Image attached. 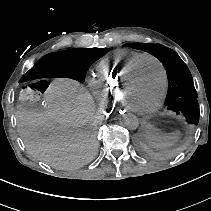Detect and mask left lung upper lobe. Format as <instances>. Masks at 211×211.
<instances>
[{
    "label": "left lung upper lobe",
    "instance_id": "obj_1",
    "mask_svg": "<svg viewBox=\"0 0 211 211\" xmlns=\"http://www.w3.org/2000/svg\"><path fill=\"white\" fill-rule=\"evenodd\" d=\"M123 46L149 52L162 62L169 82L165 105L177 114H183L189 124L197 125L199 122V105L196 99L198 95L192 75L178 54L161 44L132 43Z\"/></svg>",
    "mask_w": 211,
    "mask_h": 211
}]
</instances>
